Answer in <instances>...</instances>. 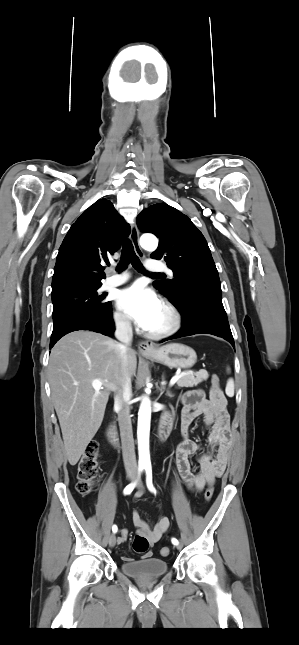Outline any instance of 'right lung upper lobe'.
<instances>
[{"mask_svg":"<svg viewBox=\"0 0 299 645\" xmlns=\"http://www.w3.org/2000/svg\"><path fill=\"white\" fill-rule=\"evenodd\" d=\"M130 231L107 199L91 205L71 226L60 246L52 292L72 285H102L103 265Z\"/></svg>","mask_w":299,"mask_h":645,"instance_id":"cb5924a9","label":"right lung upper lobe"}]
</instances>
